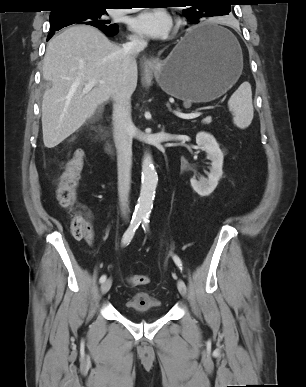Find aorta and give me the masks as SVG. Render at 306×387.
<instances>
[{
    "instance_id": "obj_1",
    "label": "aorta",
    "mask_w": 306,
    "mask_h": 387,
    "mask_svg": "<svg viewBox=\"0 0 306 387\" xmlns=\"http://www.w3.org/2000/svg\"><path fill=\"white\" fill-rule=\"evenodd\" d=\"M157 183L158 176L153 164L152 157L150 154H145L142 161L140 196L135 207L136 217L146 218L150 215L153 207V200L155 197Z\"/></svg>"
}]
</instances>
